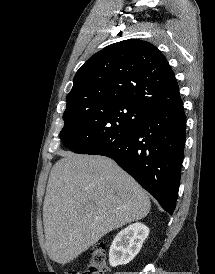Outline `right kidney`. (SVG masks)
I'll list each match as a JSON object with an SVG mask.
<instances>
[{
    "label": "right kidney",
    "mask_w": 215,
    "mask_h": 274,
    "mask_svg": "<svg viewBox=\"0 0 215 274\" xmlns=\"http://www.w3.org/2000/svg\"><path fill=\"white\" fill-rule=\"evenodd\" d=\"M148 234L149 228L142 223H134L121 230L110 247V265L116 267L132 261L140 251Z\"/></svg>",
    "instance_id": "1"
}]
</instances>
